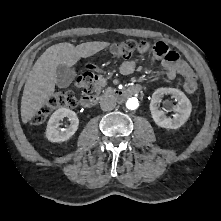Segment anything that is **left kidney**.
<instances>
[{
  "label": "left kidney",
  "instance_id": "obj_1",
  "mask_svg": "<svg viewBox=\"0 0 221 221\" xmlns=\"http://www.w3.org/2000/svg\"><path fill=\"white\" fill-rule=\"evenodd\" d=\"M165 94H171L177 101V105L173 107L176 112L173 118L167 117L164 111L158 109L161 97ZM150 110L152 119L158 126L166 129H177L188 120L192 105L182 91L175 88H160L152 95Z\"/></svg>",
  "mask_w": 221,
  "mask_h": 221
}]
</instances>
